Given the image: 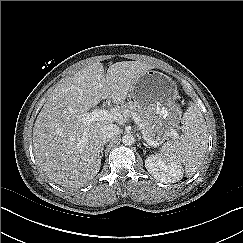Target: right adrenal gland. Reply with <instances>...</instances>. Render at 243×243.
<instances>
[{"instance_id":"2a0ac1e0","label":"right adrenal gland","mask_w":243,"mask_h":243,"mask_svg":"<svg viewBox=\"0 0 243 243\" xmlns=\"http://www.w3.org/2000/svg\"><path fill=\"white\" fill-rule=\"evenodd\" d=\"M105 144H106V143H103V144H102L101 152H100V158L103 157V150H104V145H105Z\"/></svg>"}]
</instances>
